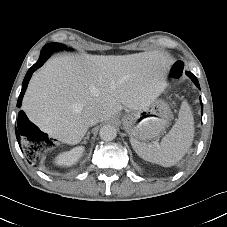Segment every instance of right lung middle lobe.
<instances>
[{"mask_svg":"<svg viewBox=\"0 0 227 227\" xmlns=\"http://www.w3.org/2000/svg\"><path fill=\"white\" fill-rule=\"evenodd\" d=\"M45 46H47L49 49H52L53 51L66 48L65 45H63L61 43H50Z\"/></svg>","mask_w":227,"mask_h":227,"instance_id":"1","label":"right lung middle lobe"}]
</instances>
